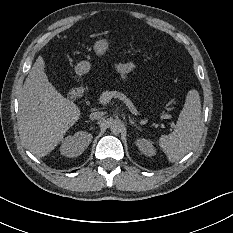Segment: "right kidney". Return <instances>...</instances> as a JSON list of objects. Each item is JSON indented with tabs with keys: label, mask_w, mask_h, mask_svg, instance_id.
<instances>
[{
	"label": "right kidney",
	"mask_w": 233,
	"mask_h": 233,
	"mask_svg": "<svg viewBox=\"0 0 233 233\" xmlns=\"http://www.w3.org/2000/svg\"><path fill=\"white\" fill-rule=\"evenodd\" d=\"M92 138V134L86 131H79L73 136H67L60 146L61 155L69 158L81 155L91 143Z\"/></svg>",
	"instance_id": "ca27d5eb"
}]
</instances>
